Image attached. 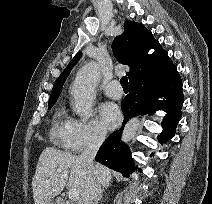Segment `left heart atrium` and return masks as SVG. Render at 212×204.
Listing matches in <instances>:
<instances>
[{"label":"left heart atrium","instance_id":"obj_1","mask_svg":"<svg viewBox=\"0 0 212 204\" xmlns=\"http://www.w3.org/2000/svg\"><path fill=\"white\" fill-rule=\"evenodd\" d=\"M100 117L106 128L113 129L121 121V112L116 104L109 102L101 106Z\"/></svg>","mask_w":212,"mask_h":204}]
</instances>
